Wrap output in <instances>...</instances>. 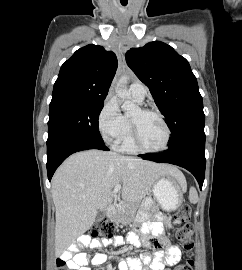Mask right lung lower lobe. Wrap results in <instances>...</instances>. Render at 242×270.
Instances as JSON below:
<instances>
[{
  "label": "right lung lower lobe",
  "instance_id": "98d812e1",
  "mask_svg": "<svg viewBox=\"0 0 242 270\" xmlns=\"http://www.w3.org/2000/svg\"><path fill=\"white\" fill-rule=\"evenodd\" d=\"M88 149H99L108 151L104 143L93 142L88 139H67L47 149V172L48 179L51 178L57 167L71 154Z\"/></svg>",
  "mask_w": 242,
  "mask_h": 270
}]
</instances>
